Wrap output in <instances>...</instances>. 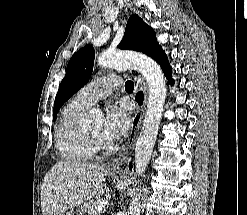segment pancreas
I'll list each match as a JSON object with an SVG mask.
<instances>
[{"label":"pancreas","mask_w":247,"mask_h":215,"mask_svg":"<svg viewBox=\"0 0 247 215\" xmlns=\"http://www.w3.org/2000/svg\"><path fill=\"white\" fill-rule=\"evenodd\" d=\"M101 200H92L80 207V215H96L97 206L100 204Z\"/></svg>","instance_id":"obj_1"}]
</instances>
